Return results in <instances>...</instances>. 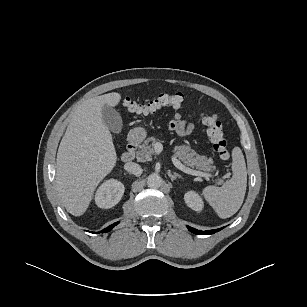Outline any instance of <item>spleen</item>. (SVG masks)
Returning <instances> with one entry per match:
<instances>
[{
    "instance_id": "1",
    "label": "spleen",
    "mask_w": 307,
    "mask_h": 307,
    "mask_svg": "<svg viewBox=\"0 0 307 307\" xmlns=\"http://www.w3.org/2000/svg\"><path fill=\"white\" fill-rule=\"evenodd\" d=\"M233 176L221 187L207 186L202 194L220 218L234 215L241 207L247 187V170L244 155L239 147L232 150Z\"/></svg>"
}]
</instances>
